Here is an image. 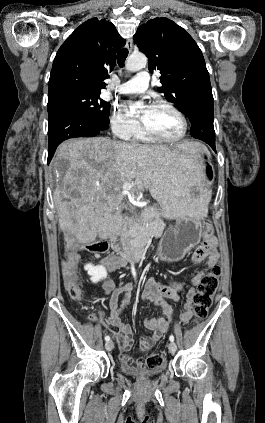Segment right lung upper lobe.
Returning <instances> with one entry per match:
<instances>
[{
    "label": "right lung upper lobe",
    "instance_id": "right-lung-upper-lobe-1",
    "mask_svg": "<svg viewBox=\"0 0 265 423\" xmlns=\"http://www.w3.org/2000/svg\"><path fill=\"white\" fill-rule=\"evenodd\" d=\"M126 41L105 19L81 24L59 48L49 79L48 97L67 91L99 93L115 66V56Z\"/></svg>",
    "mask_w": 265,
    "mask_h": 423
}]
</instances>
